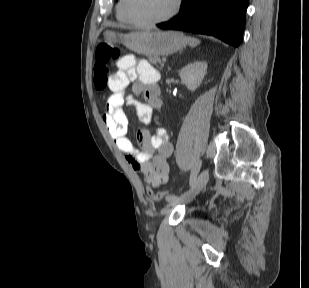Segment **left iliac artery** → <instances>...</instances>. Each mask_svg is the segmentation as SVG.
<instances>
[{
	"mask_svg": "<svg viewBox=\"0 0 309 288\" xmlns=\"http://www.w3.org/2000/svg\"><path fill=\"white\" fill-rule=\"evenodd\" d=\"M200 167H201V161H199L193 168L191 174H190V186L192 187L196 181V177H197V174L200 170ZM190 191H187L185 192L184 194H182L180 197H185L189 194ZM177 198V196H169L167 197V201H170V200H173Z\"/></svg>",
	"mask_w": 309,
	"mask_h": 288,
	"instance_id": "obj_1",
	"label": "left iliac artery"
}]
</instances>
